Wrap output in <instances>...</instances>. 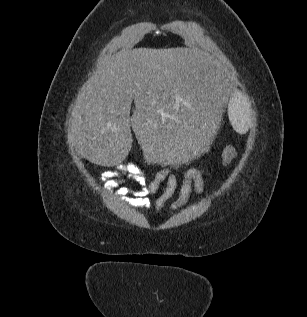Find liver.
I'll list each match as a JSON object with an SVG mask.
<instances>
[{
    "instance_id": "1",
    "label": "liver",
    "mask_w": 307,
    "mask_h": 317,
    "mask_svg": "<svg viewBox=\"0 0 307 317\" xmlns=\"http://www.w3.org/2000/svg\"><path fill=\"white\" fill-rule=\"evenodd\" d=\"M225 71L216 59L188 48L120 52L78 94L68 139L90 162L113 166L130 151L132 127L144 159H176L183 161L177 169L186 171L195 165L189 157L194 149L201 158L222 140L219 130H204L221 127L218 110L220 124L226 116L233 83Z\"/></svg>"
}]
</instances>
